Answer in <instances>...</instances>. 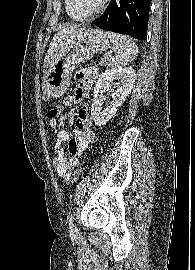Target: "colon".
Wrapping results in <instances>:
<instances>
[{
  "label": "colon",
  "mask_w": 195,
  "mask_h": 270,
  "mask_svg": "<svg viewBox=\"0 0 195 270\" xmlns=\"http://www.w3.org/2000/svg\"><path fill=\"white\" fill-rule=\"evenodd\" d=\"M64 108L65 107H64L63 103L55 104V105L51 106L50 109L48 110V118L53 119V120H57L61 116ZM80 174H81V167H78L77 169H75L72 176L69 178V181L71 183L76 182L79 179Z\"/></svg>",
  "instance_id": "obj_1"
}]
</instances>
